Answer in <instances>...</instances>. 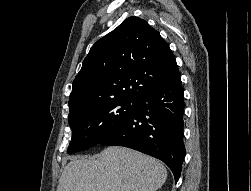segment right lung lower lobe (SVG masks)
Listing matches in <instances>:
<instances>
[{
	"label": "right lung lower lobe",
	"mask_w": 251,
	"mask_h": 191,
	"mask_svg": "<svg viewBox=\"0 0 251 191\" xmlns=\"http://www.w3.org/2000/svg\"><path fill=\"white\" fill-rule=\"evenodd\" d=\"M184 91L179 73L136 100V110L99 144L129 147L162 160L178 181L185 157Z\"/></svg>",
	"instance_id": "1"
}]
</instances>
